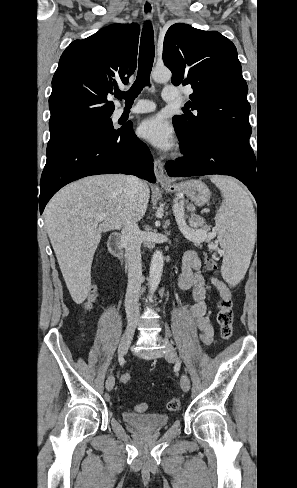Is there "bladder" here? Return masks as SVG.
<instances>
[{"instance_id":"obj_1","label":"bladder","mask_w":297,"mask_h":488,"mask_svg":"<svg viewBox=\"0 0 297 488\" xmlns=\"http://www.w3.org/2000/svg\"><path fill=\"white\" fill-rule=\"evenodd\" d=\"M122 418L131 427L144 431L161 429L170 421L169 416L163 413L137 414L133 412H123Z\"/></svg>"}]
</instances>
